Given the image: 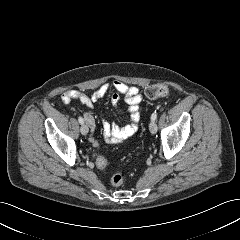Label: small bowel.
Masks as SVG:
<instances>
[{
	"mask_svg": "<svg viewBox=\"0 0 240 240\" xmlns=\"http://www.w3.org/2000/svg\"><path fill=\"white\" fill-rule=\"evenodd\" d=\"M108 94H110L111 103L116 109H119L120 96L124 97V101L128 105L126 113L129 116V122L127 124L119 126L106 120L102 122L104 140L112 144L120 143L133 136L139 126L142 95L137 86L129 85L120 80H114L112 83L101 85L91 95H86L75 89L69 90L62 95L61 100L64 104L77 100L83 105L92 108L98 100ZM84 119L88 129L91 131L89 141L93 146L98 147L100 144L93 136V132L96 128L95 119L90 113H85Z\"/></svg>",
	"mask_w": 240,
	"mask_h": 240,
	"instance_id": "obj_1",
	"label": "small bowel"
}]
</instances>
